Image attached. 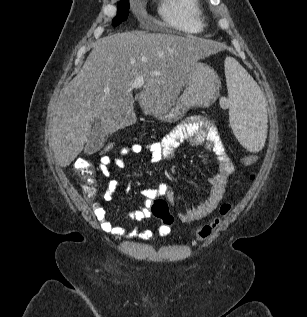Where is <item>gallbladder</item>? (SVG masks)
<instances>
[{"label":"gallbladder","mask_w":307,"mask_h":317,"mask_svg":"<svg viewBox=\"0 0 307 317\" xmlns=\"http://www.w3.org/2000/svg\"><path fill=\"white\" fill-rule=\"evenodd\" d=\"M105 135L102 120L100 118L95 119L92 122V132L84 152L88 155L97 152L105 143Z\"/></svg>","instance_id":"gallbladder-1"}]
</instances>
